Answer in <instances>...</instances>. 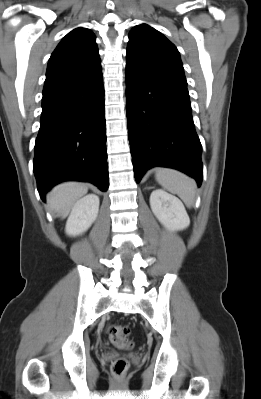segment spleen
I'll return each instance as SVG.
<instances>
[{"label": "spleen", "instance_id": "obj_1", "mask_svg": "<svg viewBox=\"0 0 261 399\" xmlns=\"http://www.w3.org/2000/svg\"><path fill=\"white\" fill-rule=\"evenodd\" d=\"M155 178L164 189L177 194L188 207L193 206L196 196V183L193 179L168 168L156 169Z\"/></svg>", "mask_w": 261, "mask_h": 399}]
</instances>
